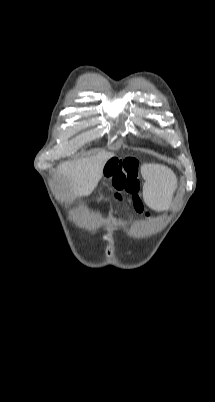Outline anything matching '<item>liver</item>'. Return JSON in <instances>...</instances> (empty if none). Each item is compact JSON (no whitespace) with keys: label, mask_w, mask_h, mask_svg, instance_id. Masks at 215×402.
<instances>
[{"label":"liver","mask_w":215,"mask_h":402,"mask_svg":"<svg viewBox=\"0 0 215 402\" xmlns=\"http://www.w3.org/2000/svg\"><path fill=\"white\" fill-rule=\"evenodd\" d=\"M113 155L111 152L102 151L89 157L68 161L60 164L57 172L75 197H85L97 186L103 175L105 163Z\"/></svg>","instance_id":"obj_1"}]
</instances>
